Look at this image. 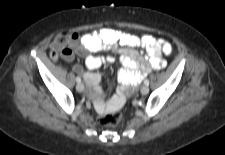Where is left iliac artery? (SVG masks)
<instances>
[{
  "mask_svg": "<svg viewBox=\"0 0 225 155\" xmlns=\"http://www.w3.org/2000/svg\"><path fill=\"white\" fill-rule=\"evenodd\" d=\"M144 84L148 86L149 85V80H145Z\"/></svg>",
  "mask_w": 225,
  "mask_h": 155,
  "instance_id": "1",
  "label": "left iliac artery"
}]
</instances>
